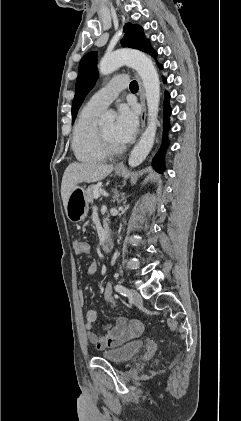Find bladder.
<instances>
[{"label": "bladder", "mask_w": 241, "mask_h": 421, "mask_svg": "<svg viewBox=\"0 0 241 421\" xmlns=\"http://www.w3.org/2000/svg\"><path fill=\"white\" fill-rule=\"evenodd\" d=\"M145 347V343L141 340H136L124 344L120 347L107 350L102 353V357L112 363H125L133 359Z\"/></svg>", "instance_id": "obj_1"}]
</instances>
